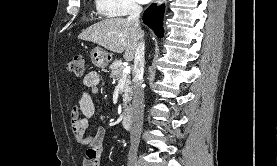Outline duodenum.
<instances>
[{"mask_svg":"<svg viewBox=\"0 0 277 166\" xmlns=\"http://www.w3.org/2000/svg\"><path fill=\"white\" fill-rule=\"evenodd\" d=\"M122 126L125 130H131L133 127V118L131 114L124 115L122 119Z\"/></svg>","mask_w":277,"mask_h":166,"instance_id":"1","label":"duodenum"}]
</instances>
